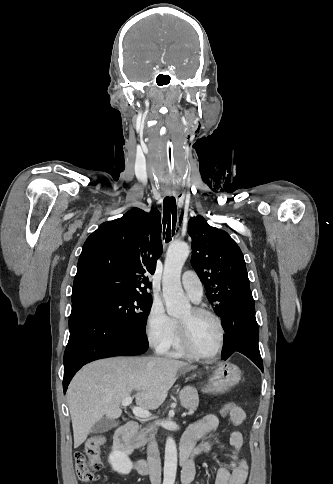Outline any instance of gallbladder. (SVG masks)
Masks as SVG:
<instances>
[{
  "label": "gallbladder",
  "mask_w": 333,
  "mask_h": 484,
  "mask_svg": "<svg viewBox=\"0 0 333 484\" xmlns=\"http://www.w3.org/2000/svg\"><path fill=\"white\" fill-rule=\"evenodd\" d=\"M119 425L118 420L103 417L93 425L92 433H106Z\"/></svg>",
  "instance_id": "gallbladder-1"
}]
</instances>
